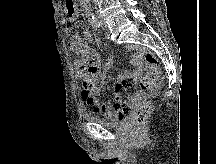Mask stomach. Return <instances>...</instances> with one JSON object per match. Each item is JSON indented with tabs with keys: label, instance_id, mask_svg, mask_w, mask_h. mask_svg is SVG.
<instances>
[{
	"label": "stomach",
	"instance_id": "obj_1",
	"mask_svg": "<svg viewBox=\"0 0 216 164\" xmlns=\"http://www.w3.org/2000/svg\"><path fill=\"white\" fill-rule=\"evenodd\" d=\"M68 7H64V12H67L66 15H63V20H74L77 15L78 7H73L71 0H66Z\"/></svg>",
	"mask_w": 216,
	"mask_h": 164
}]
</instances>
